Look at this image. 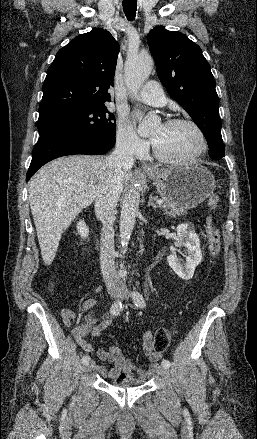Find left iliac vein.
Wrapping results in <instances>:
<instances>
[{
	"label": "left iliac vein",
	"instance_id": "left-iliac-vein-1",
	"mask_svg": "<svg viewBox=\"0 0 257 439\" xmlns=\"http://www.w3.org/2000/svg\"><path fill=\"white\" fill-rule=\"evenodd\" d=\"M128 297H129V293H128V291H126V290L122 291V293H121V298H122V299H126V298H128ZM159 374H160L161 376L165 377V378H169V376H170L168 368H167V367H164V366H162V367L159 369Z\"/></svg>",
	"mask_w": 257,
	"mask_h": 439
}]
</instances>
